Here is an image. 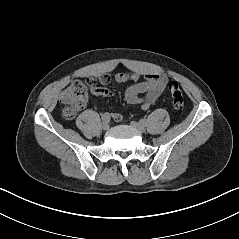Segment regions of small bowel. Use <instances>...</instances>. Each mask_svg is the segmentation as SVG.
Returning a JSON list of instances; mask_svg holds the SVG:
<instances>
[{
    "mask_svg": "<svg viewBox=\"0 0 239 239\" xmlns=\"http://www.w3.org/2000/svg\"><path fill=\"white\" fill-rule=\"evenodd\" d=\"M94 78L96 82L107 85L111 81V76L104 74L99 78ZM141 75L137 72L123 73L118 72L114 75V80L118 83L135 82L125 90V100L129 104L139 105L142 110H147L155 105L168 84L166 75L151 73L139 81ZM92 93L96 97L108 98L113 95L111 90L105 87H93ZM114 119L120 121L122 116L119 113L114 114Z\"/></svg>",
    "mask_w": 239,
    "mask_h": 239,
    "instance_id": "obj_1",
    "label": "small bowel"
}]
</instances>
